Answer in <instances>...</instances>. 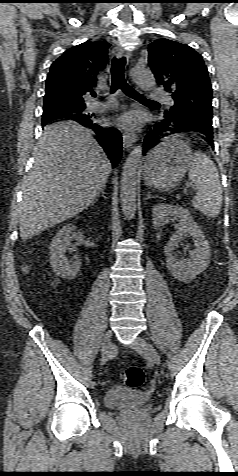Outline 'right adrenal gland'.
Returning a JSON list of instances; mask_svg holds the SVG:
<instances>
[{"label":"right adrenal gland","mask_w":238,"mask_h":476,"mask_svg":"<svg viewBox=\"0 0 238 476\" xmlns=\"http://www.w3.org/2000/svg\"><path fill=\"white\" fill-rule=\"evenodd\" d=\"M104 191H105V187L102 188L101 193H100L99 195H97V197L95 198V200L93 201V203H95V202L97 201V199H98L100 196H102L104 199L106 198Z\"/></svg>","instance_id":"2a0ac1e0"}]
</instances>
